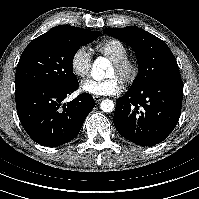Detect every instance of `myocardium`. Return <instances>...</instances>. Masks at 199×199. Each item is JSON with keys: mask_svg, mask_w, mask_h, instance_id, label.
Segmentation results:
<instances>
[{"mask_svg": "<svg viewBox=\"0 0 199 199\" xmlns=\"http://www.w3.org/2000/svg\"><path fill=\"white\" fill-rule=\"evenodd\" d=\"M113 67L115 68L116 74L127 83L132 82L138 74L137 62L128 56L114 62Z\"/></svg>", "mask_w": 199, "mask_h": 199, "instance_id": "obj_1", "label": "myocardium"}]
</instances>
